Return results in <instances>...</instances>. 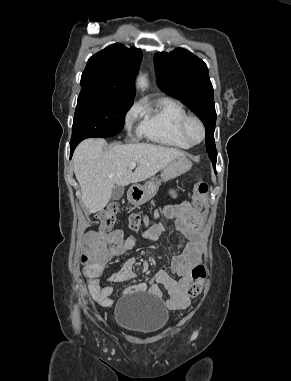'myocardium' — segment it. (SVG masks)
Segmentation results:
<instances>
[{
    "mask_svg": "<svg viewBox=\"0 0 291 381\" xmlns=\"http://www.w3.org/2000/svg\"><path fill=\"white\" fill-rule=\"evenodd\" d=\"M197 123L199 128H200V131H201V135H200V138L198 140L194 139L190 133V124L191 123ZM182 133L184 135V137L192 144V145H197V144H200L206 137V127H205V124L204 122L202 121L201 118H199L198 116H194V115H188L184 121L182 122Z\"/></svg>",
    "mask_w": 291,
    "mask_h": 381,
    "instance_id": "1",
    "label": "myocardium"
}]
</instances>
